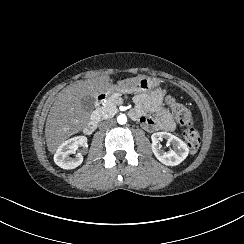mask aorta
Returning a JSON list of instances; mask_svg holds the SVG:
<instances>
[{
  "label": "aorta",
  "instance_id": "762f6f07",
  "mask_svg": "<svg viewBox=\"0 0 244 244\" xmlns=\"http://www.w3.org/2000/svg\"><path fill=\"white\" fill-rule=\"evenodd\" d=\"M117 122L120 125H124V124L127 123V117L125 115H119L118 118H117Z\"/></svg>",
  "mask_w": 244,
  "mask_h": 244
}]
</instances>
